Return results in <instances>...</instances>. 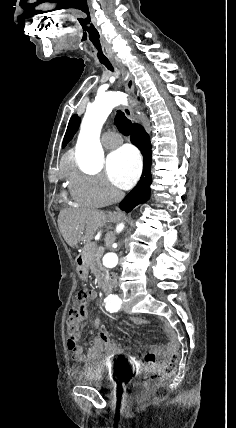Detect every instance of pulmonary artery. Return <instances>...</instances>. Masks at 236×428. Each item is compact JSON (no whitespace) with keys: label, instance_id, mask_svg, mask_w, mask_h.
I'll list each match as a JSON object with an SVG mask.
<instances>
[{"label":"pulmonary artery","instance_id":"e3ab8cb5","mask_svg":"<svg viewBox=\"0 0 236 428\" xmlns=\"http://www.w3.org/2000/svg\"><path fill=\"white\" fill-rule=\"evenodd\" d=\"M109 136H116L117 137V141L118 142H122L121 135L118 134V133L110 132V133L106 134V137H109ZM104 147L107 148V149H113V148H116L117 145L106 142V143H104Z\"/></svg>","mask_w":236,"mask_h":428}]
</instances>
